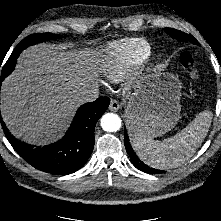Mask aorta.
Returning <instances> with one entry per match:
<instances>
[{"label":"aorta","instance_id":"obj_1","mask_svg":"<svg viewBox=\"0 0 221 221\" xmlns=\"http://www.w3.org/2000/svg\"><path fill=\"white\" fill-rule=\"evenodd\" d=\"M101 127L108 132H116L121 128V119L117 114L107 113L101 118Z\"/></svg>","mask_w":221,"mask_h":221}]
</instances>
